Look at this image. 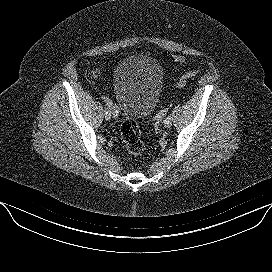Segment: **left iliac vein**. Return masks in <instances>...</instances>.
Wrapping results in <instances>:
<instances>
[{
    "label": "left iliac vein",
    "instance_id": "4c4485c4",
    "mask_svg": "<svg viewBox=\"0 0 272 272\" xmlns=\"http://www.w3.org/2000/svg\"><path fill=\"white\" fill-rule=\"evenodd\" d=\"M171 125H172L171 119L165 118V120H164V126L167 127V128H169Z\"/></svg>",
    "mask_w": 272,
    "mask_h": 272
}]
</instances>
